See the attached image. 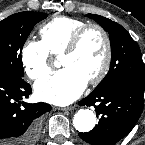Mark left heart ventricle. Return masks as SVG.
Segmentation results:
<instances>
[{
    "instance_id": "left-heart-ventricle-1",
    "label": "left heart ventricle",
    "mask_w": 145,
    "mask_h": 145,
    "mask_svg": "<svg viewBox=\"0 0 145 145\" xmlns=\"http://www.w3.org/2000/svg\"><path fill=\"white\" fill-rule=\"evenodd\" d=\"M105 55L104 41L96 30L86 33L75 52L59 59L62 67H73L87 81L96 76L100 70Z\"/></svg>"
}]
</instances>
